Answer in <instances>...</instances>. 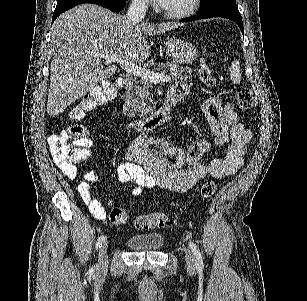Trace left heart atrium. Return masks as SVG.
<instances>
[{"label":"left heart atrium","instance_id":"obj_1","mask_svg":"<svg viewBox=\"0 0 307 301\" xmlns=\"http://www.w3.org/2000/svg\"><path fill=\"white\" fill-rule=\"evenodd\" d=\"M161 4H168L169 0H160ZM128 62H140V61H128Z\"/></svg>","mask_w":307,"mask_h":301}]
</instances>
